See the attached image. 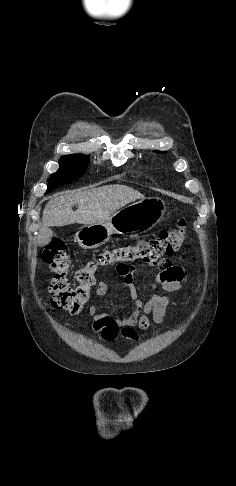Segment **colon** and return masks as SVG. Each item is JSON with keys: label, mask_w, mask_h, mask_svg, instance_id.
Returning <instances> with one entry per match:
<instances>
[{"label": "colon", "mask_w": 236, "mask_h": 486, "mask_svg": "<svg viewBox=\"0 0 236 486\" xmlns=\"http://www.w3.org/2000/svg\"><path fill=\"white\" fill-rule=\"evenodd\" d=\"M185 239V222L180 220L176 230H165L134 244L104 251L76 272L78 285L74 287L68 278L71 265L70 252L65 243L56 238L43 252V260L52 272L49 283L51 303L57 309L72 314L78 313L89 301L91 289L96 282V272L100 267L114 263H117V266H126L135 260H143L147 263L157 261L178 251Z\"/></svg>", "instance_id": "obj_1"}]
</instances>
